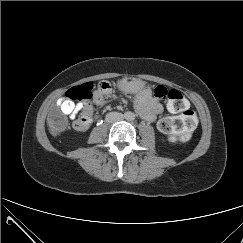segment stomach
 I'll list each match as a JSON object with an SVG mask.
<instances>
[{
	"label": "stomach",
	"mask_w": 243,
	"mask_h": 243,
	"mask_svg": "<svg viewBox=\"0 0 243 243\" xmlns=\"http://www.w3.org/2000/svg\"><path fill=\"white\" fill-rule=\"evenodd\" d=\"M119 87L125 92L136 93L143 88V84L135 78H124L119 82Z\"/></svg>",
	"instance_id": "0dacf381"
}]
</instances>
